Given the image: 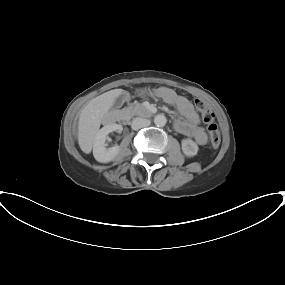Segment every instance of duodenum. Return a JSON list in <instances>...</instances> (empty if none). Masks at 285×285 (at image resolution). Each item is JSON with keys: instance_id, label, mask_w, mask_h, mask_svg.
I'll return each instance as SVG.
<instances>
[{"instance_id": "410a0bca", "label": "duodenum", "mask_w": 285, "mask_h": 285, "mask_svg": "<svg viewBox=\"0 0 285 285\" xmlns=\"http://www.w3.org/2000/svg\"><path fill=\"white\" fill-rule=\"evenodd\" d=\"M136 113L140 116H143V117H149L151 116L152 114L155 113V109L152 108V107H145V106H141V107H138L136 110ZM121 114H117V119L118 120H122Z\"/></svg>"}]
</instances>
